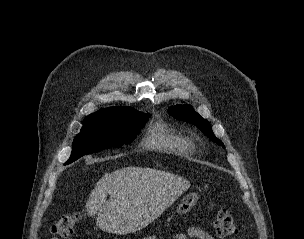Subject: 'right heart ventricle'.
<instances>
[{"mask_svg":"<svg viewBox=\"0 0 304 239\" xmlns=\"http://www.w3.org/2000/svg\"><path fill=\"white\" fill-rule=\"evenodd\" d=\"M143 143L147 148L176 155H187L193 151L189 138L173 131L164 123H156L150 127Z\"/></svg>","mask_w":304,"mask_h":239,"instance_id":"right-heart-ventricle-1","label":"right heart ventricle"}]
</instances>
